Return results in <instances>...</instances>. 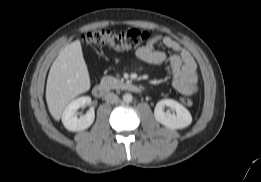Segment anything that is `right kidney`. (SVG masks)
Listing matches in <instances>:
<instances>
[{"mask_svg":"<svg viewBox=\"0 0 261 182\" xmlns=\"http://www.w3.org/2000/svg\"><path fill=\"white\" fill-rule=\"evenodd\" d=\"M91 103L88 96L79 97L71 101L64 109L62 114V123L69 131H82L89 128L95 119L94 109H90L85 115L78 118L77 110Z\"/></svg>","mask_w":261,"mask_h":182,"instance_id":"obj_1","label":"right kidney"}]
</instances>
